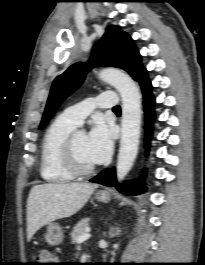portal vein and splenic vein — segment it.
I'll list each match as a JSON object with an SVG mask.
<instances>
[{
    "label": "portal vein and splenic vein",
    "mask_w": 205,
    "mask_h": 265,
    "mask_svg": "<svg viewBox=\"0 0 205 265\" xmlns=\"http://www.w3.org/2000/svg\"><path fill=\"white\" fill-rule=\"evenodd\" d=\"M90 236H91V235H90L88 232L82 234L81 236L78 237V239H77V243H78V244L83 243L84 241L88 240V239L90 238Z\"/></svg>",
    "instance_id": "18ae733b"
}]
</instances>
